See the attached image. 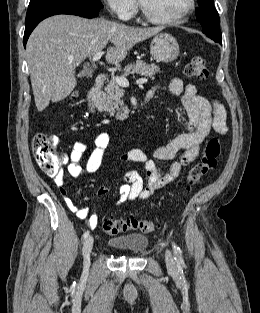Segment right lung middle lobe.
<instances>
[{"mask_svg": "<svg viewBox=\"0 0 260 313\" xmlns=\"http://www.w3.org/2000/svg\"><path fill=\"white\" fill-rule=\"evenodd\" d=\"M33 1H40V0H30V2H33ZM64 1H75V2H80V3H85L91 6H95V7L103 8V5L100 2V0H64Z\"/></svg>", "mask_w": 260, "mask_h": 313, "instance_id": "obj_1", "label": "right lung middle lobe"}]
</instances>
